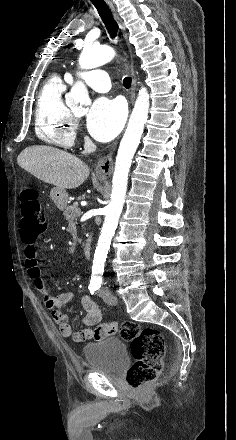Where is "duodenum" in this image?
<instances>
[{"instance_id":"1","label":"duodenum","mask_w":236,"mask_h":440,"mask_svg":"<svg viewBox=\"0 0 236 440\" xmlns=\"http://www.w3.org/2000/svg\"><path fill=\"white\" fill-rule=\"evenodd\" d=\"M84 257L88 259L92 252V239L91 237L86 238L83 246Z\"/></svg>"}]
</instances>
